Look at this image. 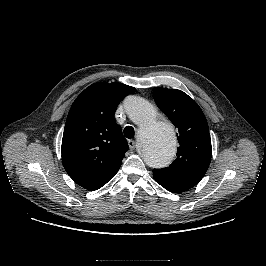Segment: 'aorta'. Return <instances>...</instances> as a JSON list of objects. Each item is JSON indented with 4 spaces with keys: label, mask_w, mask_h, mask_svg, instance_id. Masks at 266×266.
<instances>
[{
    "label": "aorta",
    "mask_w": 266,
    "mask_h": 266,
    "mask_svg": "<svg viewBox=\"0 0 266 266\" xmlns=\"http://www.w3.org/2000/svg\"><path fill=\"white\" fill-rule=\"evenodd\" d=\"M125 108L129 118L139 126V147L145 162L153 168L170 164L176 153L171 124L158 121L155 108L143 98L130 97Z\"/></svg>",
    "instance_id": "obj_1"
}]
</instances>
